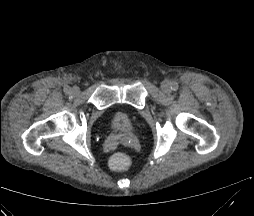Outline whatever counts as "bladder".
<instances>
[{"instance_id":"bladder-1","label":"bladder","mask_w":254,"mask_h":216,"mask_svg":"<svg viewBox=\"0 0 254 216\" xmlns=\"http://www.w3.org/2000/svg\"><path fill=\"white\" fill-rule=\"evenodd\" d=\"M127 121H128V118L126 115H124L122 113L117 114L116 122H117L118 126H120V127L125 126Z\"/></svg>"}]
</instances>
